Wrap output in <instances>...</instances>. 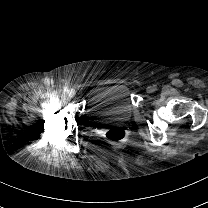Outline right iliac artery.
<instances>
[{
  "label": "right iliac artery",
  "mask_w": 208,
  "mask_h": 208,
  "mask_svg": "<svg viewBox=\"0 0 208 208\" xmlns=\"http://www.w3.org/2000/svg\"><path fill=\"white\" fill-rule=\"evenodd\" d=\"M64 92H66V93L69 92L67 87L64 88Z\"/></svg>",
  "instance_id": "82829eb1"
}]
</instances>
